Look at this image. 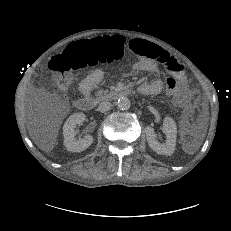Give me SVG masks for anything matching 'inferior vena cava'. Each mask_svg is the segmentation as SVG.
Returning <instances> with one entry per match:
<instances>
[{
	"label": "inferior vena cava",
	"mask_w": 231,
	"mask_h": 231,
	"mask_svg": "<svg viewBox=\"0 0 231 231\" xmlns=\"http://www.w3.org/2000/svg\"><path fill=\"white\" fill-rule=\"evenodd\" d=\"M111 107V103L107 100H104L102 102L99 103V106H98V110L100 112H107Z\"/></svg>",
	"instance_id": "inferior-vena-cava-1"
}]
</instances>
